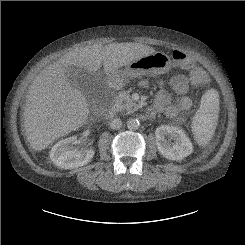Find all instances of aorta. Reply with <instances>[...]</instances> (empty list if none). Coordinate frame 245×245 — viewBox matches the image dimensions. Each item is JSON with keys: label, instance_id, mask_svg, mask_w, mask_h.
<instances>
[{"label": "aorta", "instance_id": "obj_1", "mask_svg": "<svg viewBox=\"0 0 245 245\" xmlns=\"http://www.w3.org/2000/svg\"><path fill=\"white\" fill-rule=\"evenodd\" d=\"M139 121L138 119H135V118H130L128 119L127 121V128L129 130H137L139 128Z\"/></svg>", "mask_w": 245, "mask_h": 245}]
</instances>
